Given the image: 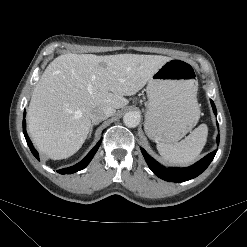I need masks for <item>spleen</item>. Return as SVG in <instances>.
Listing matches in <instances>:
<instances>
[{
	"label": "spleen",
	"instance_id": "3e777b00",
	"mask_svg": "<svg viewBox=\"0 0 247 247\" xmlns=\"http://www.w3.org/2000/svg\"><path fill=\"white\" fill-rule=\"evenodd\" d=\"M195 108L200 112L197 99H194ZM208 135L206 124H201L185 139L178 143H157V150L163 159L174 164L187 165L193 163L204 148Z\"/></svg>",
	"mask_w": 247,
	"mask_h": 247
}]
</instances>
